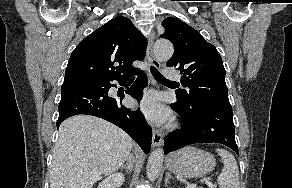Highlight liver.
I'll use <instances>...</instances> for the list:
<instances>
[{
	"label": "liver",
	"instance_id": "liver-1",
	"mask_svg": "<svg viewBox=\"0 0 292 188\" xmlns=\"http://www.w3.org/2000/svg\"><path fill=\"white\" fill-rule=\"evenodd\" d=\"M133 140L117 126L90 115L62 122L50 167V188H92L129 158Z\"/></svg>",
	"mask_w": 292,
	"mask_h": 188
}]
</instances>
